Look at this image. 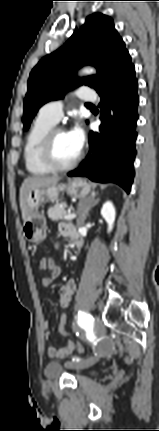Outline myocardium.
Masks as SVG:
<instances>
[{
  "label": "myocardium",
  "instance_id": "f54148a6",
  "mask_svg": "<svg viewBox=\"0 0 159 431\" xmlns=\"http://www.w3.org/2000/svg\"><path fill=\"white\" fill-rule=\"evenodd\" d=\"M65 132L63 128L53 127L46 134L41 146V158L43 162L55 172H64L73 169L80 162L82 154L79 152L77 157L68 164H60L54 155V143L58 133Z\"/></svg>",
  "mask_w": 159,
  "mask_h": 431
}]
</instances>
